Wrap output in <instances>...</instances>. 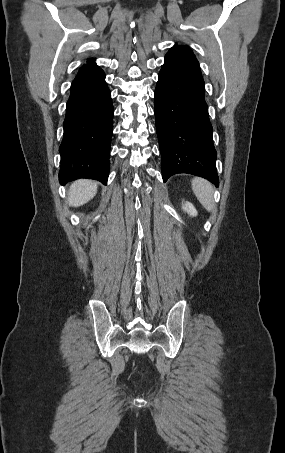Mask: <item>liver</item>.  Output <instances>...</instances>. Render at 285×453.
Listing matches in <instances>:
<instances>
[{"label": "liver", "instance_id": "6515ba94", "mask_svg": "<svg viewBox=\"0 0 285 453\" xmlns=\"http://www.w3.org/2000/svg\"><path fill=\"white\" fill-rule=\"evenodd\" d=\"M97 193V184L92 180H77L69 189L70 206L78 207L90 201Z\"/></svg>", "mask_w": 285, "mask_h": 453}]
</instances>
